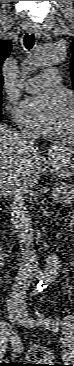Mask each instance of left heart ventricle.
<instances>
[{
  "instance_id": "b2bd125f",
  "label": "left heart ventricle",
  "mask_w": 74,
  "mask_h": 366,
  "mask_svg": "<svg viewBox=\"0 0 74 366\" xmlns=\"http://www.w3.org/2000/svg\"><path fill=\"white\" fill-rule=\"evenodd\" d=\"M71 119H72L71 108L69 103L66 101L63 116L60 120L58 128L55 131L59 132L61 135L65 137V135H67V132L71 129L72 125Z\"/></svg>"
}]
</instances>
